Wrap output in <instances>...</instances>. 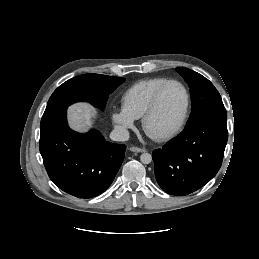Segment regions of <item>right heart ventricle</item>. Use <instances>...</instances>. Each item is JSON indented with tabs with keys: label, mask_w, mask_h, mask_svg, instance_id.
Listing matches in <instances>:
<instances>
[{
	"label": "right heart ventricle",
	"mask_w": 259,
	"mask_h": 259,
	"mask_svg": "<svg viewBox=\"0 0 259 259\" xmlns=\"http://www.w3.org/2000/svg\"><path fill=\"white\" fill-rule=\"evenodd\" d=\"M166 80V77H151L135 82L123 92L122 108L133 118H142L155 90Z\"/></svg>",
	"instance_id": "1"
}]
</instances>
